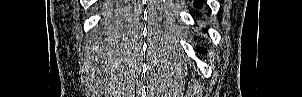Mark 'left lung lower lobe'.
<instances>
[{"label":"left lung lower lobe","mask_w":302,"mask_h":97,"mask_svg":"<svg viewBox=\"0 0 302 97\" xmlns=\"http://www.w3.org/2000/svg\"><path fill=\"white\" fill-rule=\"evenodd\" d=\"M202 2H203V0H195V5H196V6H199V5L202 4ZM197 50H199V52H203V51L206 52L205 49L200 48V47L197 48Z\"/></svg>","instance_id":"0a47b994"}]
</instances>
